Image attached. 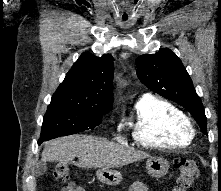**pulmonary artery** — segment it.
<instances>
[{"instance_id":"pulmonary-artery-1","label":"pulmonary artery","mask_w":221,"mask_h":191,"mask_svg":"<svg viewBox=\"0 0 221 191\" xmlns=\"http://www.w3.org/2000/svg\"><path fill=\"white\" fill-rule=\"evenodd\" d=\"M152 95H150L149 93H145L141 96L140 100H144V99H148L149 97H151Z\"/></svg>"}]
</instances>
